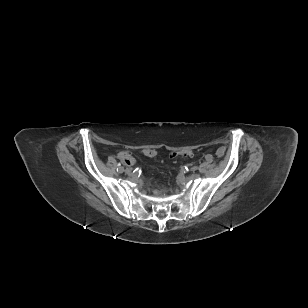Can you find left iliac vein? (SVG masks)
Instances as JSON below:
<instances>
[{
	"instance_id": "1",
	"label": "left iliac vein",
	"mask_w": 308,
	"mask_h": 308,
	"mask_svg": "<svg viewBox=\"0 0 308 308\" xmlns=\"http://www.w3.org/2000/svg\"><path fill=\"white\" fill-rule=\"evenodd\" d=\"M198 169V167L197 166H193L192 168H191V171H196Z\"/></svg>"
}]
</instances>
